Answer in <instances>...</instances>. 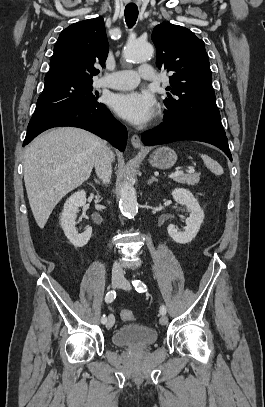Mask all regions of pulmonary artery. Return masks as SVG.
I'll list each match as a JSON object with an SVG mask.
<instances>
[{
	"label": "pulmonary artery",
	"instance_id": "pulmonary-artery-1",
	"mask_svg": "<svg viewBox=\"0 0 265 407\" xmlns=\"http://www.w3.org/2000/svg\"><path fill=\"white\" fill-rule=\"evenodd\" d=\"M156 74L151 65L140 66L137 71L119 70L104 74L99 84L112 89L126 90L136 87L140 80L154 81Z\"/></svg>",
	"mask_w": 265,
	"mask_h": 407
}]
</instances>
